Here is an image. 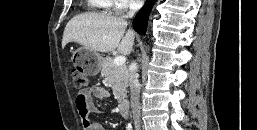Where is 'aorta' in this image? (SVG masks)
Instances as JSON below:
<instances>
[{
    "label": "aorta",
    "mask_w": 257,
    "mask_h": 130,
    "mask_svg": "<svg viewBox=\"0 0 257 130\" xmlns=\"http://www.w3.org/2000/svg\"><path fill=\"white\" fill-rule=\"evenodd\" d=\"M128 128H131V125H130V124H128Z\"/></svg>",
    "instance_id": "1"
}]
</instances>
